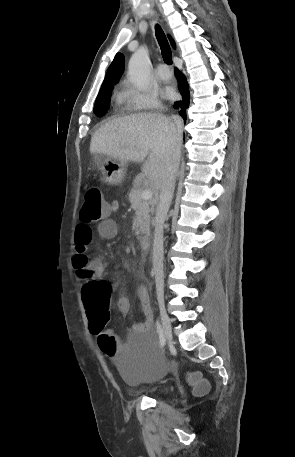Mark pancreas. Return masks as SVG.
<instances>
[{"instance_id": "pancreas-1", "label": "pancreas", "mask_w": 295, "mask_h": 457, "mask_svg": "<svg viewBox=\"0 0 295 457\" xmlns=\"http://www.w3.org/2000/svg\"><path fill=\"white\" fill-rule=\"evenodd\" d=\"M143 189L136 186L131 189L128 194V200L131 203V208L135 210V217L133 219L134 234L140 238L144 234L150 233V213H153V202L144 200L141 196Z\"/></svg>"}]
</instances>
